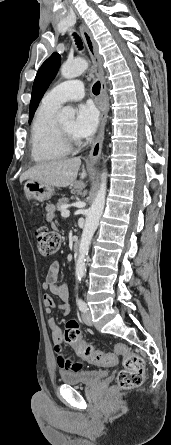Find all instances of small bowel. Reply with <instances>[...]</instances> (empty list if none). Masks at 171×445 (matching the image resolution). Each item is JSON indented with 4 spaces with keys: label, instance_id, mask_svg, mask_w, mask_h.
<instances>
[{
    "label": "small bowel",
    "instance_id": "c3829d8e",
    "mask_svg": "<svg viewBox=\"0 0 171 445\" xmlns=\"http://www.w3.org/2000/svg\"><path fill=\"white\" fill-rule=\"evenodd\" d=\"M54 208L52 206L47 207L46 222L53 225ZM59 280V264L53 263L48 271L46 280L43 282L42 287L45 291L58 297L61 303L58 308L64 315H67L71 311L69 304V288L65 283H58ZM46 293L43 296L44 311L47 315L52 313V310L56 307L51 295ZM47 326L51 333L52 343L54 345V351L56 354L57 365L61 371H79L81 364L75 362L72 356L65 355L61 347V330L58 327L54 318L47 320Z\"/></svg>",
    "mask_w": 171,
    "mask_h": 445
}]
</instances>
